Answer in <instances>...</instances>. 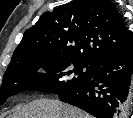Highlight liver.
Listing matches in <instances>:
<instances>
[{
	"mask_svg": "<svg viewBox=\"0 0 133 118\" xmlns=\"http://www.w3.org/2000/svg\"><path fill=\"white\" fill-rule=\"evenodd\" d=\"M10 118H91V116L59 100L39 99L18 105Z\"/></svg>",
	"mask_w": 133,
	"mask_h": 118,
	"instance_id": "liver-1",
	"label": "liver"
}]
</instances>
